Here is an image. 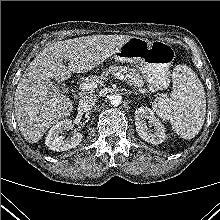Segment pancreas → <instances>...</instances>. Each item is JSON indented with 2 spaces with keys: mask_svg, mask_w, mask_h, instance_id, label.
<instances>
[{
  "mask_svg": "<svg viewBox=\"0 0 220 220\" xmlns=\"http://www.w3.org/2000/svg\"><path fill=\"white\" fill-rule=\"evenodd\" d=\"M126 73L127 83L131 86L142 87L144 85V81L142 77L135 69H130L126 66H115L112 65L108 69H106L101 76L96 77L98 80L104 79L109 74L113 73Z\"/></svg>",
  "mask_w": 220,
  "mask_h": 220,
  "instance_id": "obj_1",
  "label": "pancreas"
}]
</instances>
